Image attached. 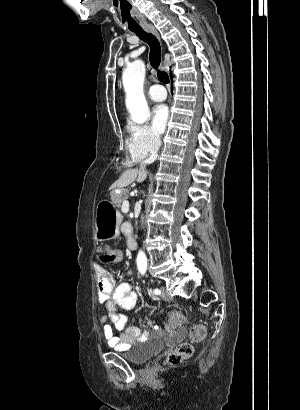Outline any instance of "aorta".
Here are the masks:
<instances>
[{"instance_id": "762f6f07", "label": "aorta", "mask_w": 300, "mask_h": 410, "mask_svg": "<svg viewBox=\"0 0 300 410\" xmlns=\"http://www.w3.org/2000/svg\"><path fill=\"white\" fill-rule=\"evenodd\" d=\"M123 87L126 93V107L134 122L142 124L150 116L149 108L144 96L145 64L142 60H135L123 72ZM140 272L147 269V257L144 251L139 250L136 258Z\"/></svg>"}]
</instances>
